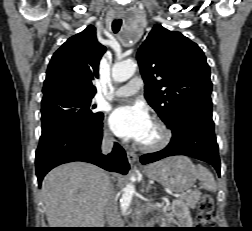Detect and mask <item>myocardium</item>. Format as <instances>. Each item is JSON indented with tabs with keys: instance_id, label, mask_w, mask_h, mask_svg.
<instances>
[{
	"instance_id": "myocardium-1",
	"label": "myocardium",
	"mask_w": 252,
	"mask_h": 231,
	"mask_svg": "<svg viewBox=\"0 0 252 231\" xmlns=\"http://www.w3.org/2000/svg\"><path fill=\"white\" fill-rule=\"evenodd\" d=\"M153 124L158 128L160 131V139L153 144H144L139 143V148L146 152H156L164 149L172 139V132L169 127L160 120H154Z\"/></svg>"
}]
</instances>
